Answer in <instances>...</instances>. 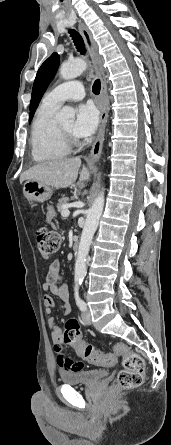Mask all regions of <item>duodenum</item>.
Listing matches in <instances>:
<instances>
[{
	"mask_svg": "<svg viewBox=\"0 0 171 445\" xmlns=\"http://www.w3.org/2000/svg\"><path fill=\"white\" fill-rule=\"evenodd\" d=\"M73 248L74 250H79L80 248V240L78 238H76L73 242Z\"/></svg>",
	"mask_w": 171,
	"mask_h": 445,
	"instance_id": "obj_1",
	"label": "duodenum"
}]
</instances>
